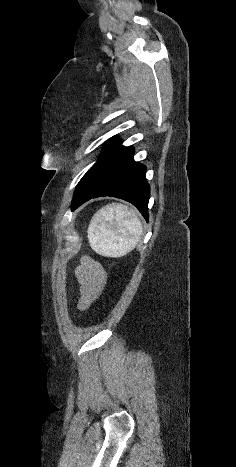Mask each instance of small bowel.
<instances>
[{
    "mask_svg": "<svg viewBox=\"0 0 236 467\" xmlns=\"http://www.w3.org/2000/svg\"><path fill=\"white\" fill-rule=\"evenodd\" d=\"M79 283L78 309L87 310L101 295L106 273L102 265L89 257H83L81 264L75 269Z\"/></svg>",
    "mask_w": 236,
    "mask_h": 467,
    "instance_id": "obj_1",
    "label": "small bowel"
}]
</instances>
